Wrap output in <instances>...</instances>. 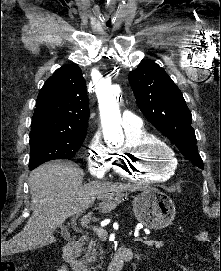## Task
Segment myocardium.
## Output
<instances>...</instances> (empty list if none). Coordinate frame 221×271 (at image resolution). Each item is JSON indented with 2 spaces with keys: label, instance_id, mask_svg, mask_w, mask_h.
Returning a JSON list of instances; mask_svg holds the SVG:
<instances>
[{
  "label": "myocardium",
  "instance_id": "obj_1",
  "mask_svg": "<svg viewBox=\"0 0 221 271\" xmlns=\"http://www.w3.org/2000/svg\"><path fill=\"white\" fill-rule=\"evenodd\" d=\"M160 142H157V141ZM162 140L164 138H153L149 143L151 145H140V151L134 153L131 158H129V163H135L137 167H131L129 170L131 172H140L141 175H148L149 172H154L155 175H170L168 173L169 169H175L174 157L171 156L174 150H171V145H164ZM132 150H136L138 147L132 145L130 147ZM159 172H162L159 174ZM163 172H166L164 174Z\"/></svg>",
  "mask_w": 221,
  "mask_h": 271
}]
</instances>
